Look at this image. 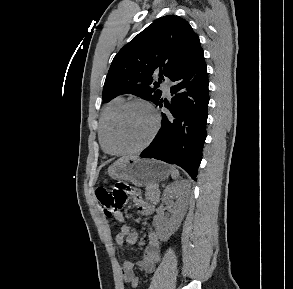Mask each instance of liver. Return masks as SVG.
<instances>
[{
	"instance_id": "6515ba94",
	"label": "liver",
	"mask_w": 293,
	"mask_h": 289,
	"mask_svg": "<svg viewBox=\"0 0 293 289\" xmlns=\"http://www.w3.org/2000/svg\"><path fill=\"white\" fill-rule=\"evenodd\" d=\"M126 158H128V157L121 158L120 160H123V159H126ZM120 160H118V161H120Z\"/></svg>"
}]
</instances>
